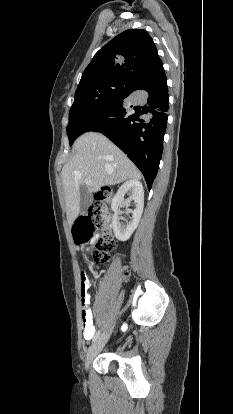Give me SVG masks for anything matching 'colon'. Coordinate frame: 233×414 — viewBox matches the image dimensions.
I'll return each mask as SVG.
<instances>
[{
    "instance_id": "5ec220e1",
    "label": "colon",
    "mask_w": 233,
    "mask_h": 414,
    "mask_svg": "<svg viewBox=\"0 0 233 414\" xmlns=\"http://www.w3.org/2000/svg\"><path fill=\"white\" fill-rule=\"evenodd\" d=\"M112 196L109 187L101 188L94 197V202L89 211L77 218L73 227L74 240L78 245L92 244L95 247L93 260L95 263H105L109 259V251L114 246L112 236L104 232L100 237L95 238L97 230L105 229L109 221L107 204ZM123 278H128L129 270L124 268ZM82 281V280H81Z\"/></svg>"
}]
</instances>
